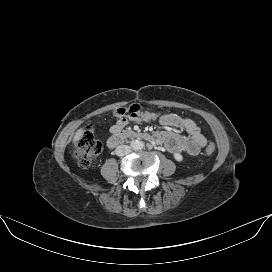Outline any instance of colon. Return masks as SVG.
I'll return each mask as SVG.
<instances>
[{"label": "colon", "mask_w": 272, "mask_h": 272, "mask_svg": "<svg viewBox=\"0 0 272 272\" xmlns=\"http://www.w3.org/2000/svg\"><path fill=\"white\" fill-rule=\"evenodd\" d=\"M114 115L119 118H125L138 122H151L156 120L160 114L154 111L142 110L137 104L120 107L114 111ZM216 150L213 143L208 144L206 153L212 155ZM102 151L101 142L96 139L92 128H87L75 145V158L80 167H89Z\"/></svg>", "instance_id": "colon-1"}]
</instances>
